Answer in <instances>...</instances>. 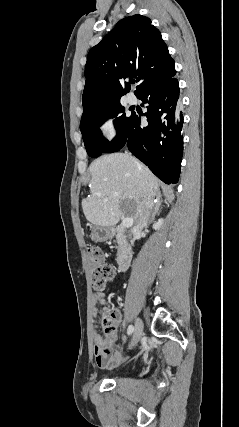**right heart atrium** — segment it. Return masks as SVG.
I'll list each match as a JSON object with an SVG mask.
<instances>
[{
    "mask_svg": "<svg viewBox=\"0 0 239 427\" xmlns=\"http://www.w3.org/2000/svg\"><path fill=\"white\" fill-rule=\"evenodd\" d=\"M100 130L107 140L115 139L118 133L115 119L113 117L105 118L100 124Z\"/></svg>",
    "mask_w": 239,
    "mask_h": 427,
    "instance_id": "d8ad5b80",
    "label": "right heart atrium"
}]
</instances>
